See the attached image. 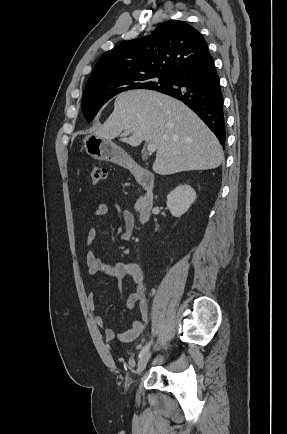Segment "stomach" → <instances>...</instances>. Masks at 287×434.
Masks as SVG:
<instances>
[{
  "mask_svg": "<svg viewBox=\"0 0 287 434\" xmlns=\"http://www.w3.org/2000/svg\"><path fill=\"white\" fill-rule=\"evenodd\" d=\"M83 148L92 158L101 161H109L122 166H129V155L110 140L90 133L84 136Z\"/></svg>",
  "mask_w": 287,
  "mask_h": 434,
  "instance_id": "0dacf381",
  "label": "stomach"
}]
</instances>
